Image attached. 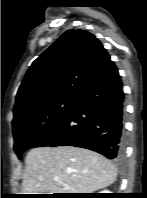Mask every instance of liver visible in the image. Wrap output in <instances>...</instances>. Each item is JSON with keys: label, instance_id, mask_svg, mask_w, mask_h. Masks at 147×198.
<instances>
[{"label": "liver", "instance_id": "obj_1", "mask_svg": "<svg viewBox=\"0 0 147 198\" xmlns=\"http://www.w3.org/2000/svg\"><path fill=\"white\" fill-rule=\"evenodd\" d=\"M25 163L23 194L92 193L108 187L117 178V169L110 160L74 146L34 148Z\"/></svg>", "mask_w": 147, "mask_h": 198}]
</instances>
